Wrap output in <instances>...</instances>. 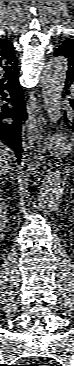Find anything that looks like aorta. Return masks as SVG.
I'll list each match as a JSON object with an SVG mask.
<instances>
[{"label":"aorta","mask_w":74,"mask_h":366,"mask_svg":"<svg viewBox=\"0 0 74 366\" xmlns=\"http://www.w3.org/2000/svg\"><path fill=\"white\" fill-rule=\"evenodd\" d=\"M67 70V59L56 56L47 63L42 77L43 99L53 128H56L61 118L59 107ZM38 190V209L48 214L59 203L62 194L61 174L56 167H49Z\"/></svg>","instance_id":"obj_1"}]
</instances>
